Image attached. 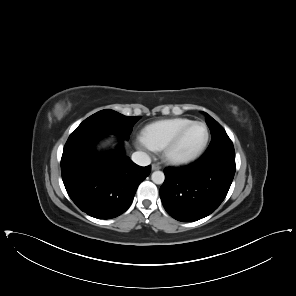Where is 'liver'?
<instances>
[{
    "instance_id": "obj_1",
    "label": "liver",
    "mask_w": 296,
    "mask_h": 296,
    "mask_svg": "<svg viewBox=\"0 0 296 296\" xmlns=\"http://www.w3.org/2000/svg\"><path fill=\"white\" fill-rule=\"evenodd\" d=\"M111 142V140H108L107 142H105L104 144H102L103 146L108 145Z\"/></svg>"
}]
</instances>
